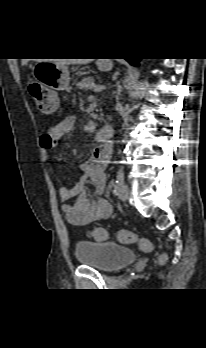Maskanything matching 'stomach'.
<instances>
[{"label": "stomach", "mask_w": 206, "mask_h": 348, "mask_svg": "<svg viewBox=\"0 0 206 348\" xmlns=\"http://www.w3.org/2000/svg\"><path fill=\"white\" fill-rule=\"evenodd\" d=\"M102 71H109L113 64L109 59H98L96 62ZM35 80L44 88L49 87L52 92H47L44 88L38 97L35 98L36 107L45 114L54 112L59 105L58 96L55 91L66 90L70 83L69 68L67 65H58L51 61L39 62L33 68Z\"/></svg>", "instance_id": "obj_1"}]
</instances>
